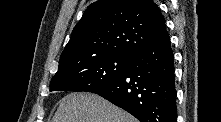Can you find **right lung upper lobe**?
<instances>
[{
    "label": "right lung upper lobe",
    "instance_id": "cb5924a9",
    "mask_svg": "<svg viewBox=\"0 0 221 122\" xmlns=\"http://www.w3.org/2000/svg\"><path fill=\"white\" fill-rule=\"evenodd\" d=\"M166 30L152 0H99L74 27L56 74L78 63L108 55L133 57ZM55 74V75H56Z\"/></svg>",
    "mask_w": 221,
    "mask_h": 122
}]
</instances>
